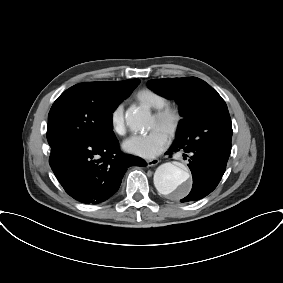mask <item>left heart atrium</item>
I'll return each instance as SVG.
<instances>
[{
  "label": "left heart atrium",
  "instance_id": "obj_1",
  "mask_svg": "<svg viewBox=\"0 0 283 283\" xmlns=\"http://www.w3.org/2000/svg\"><path fill=\"white\" fill-rule=\"evenodd\" d=\"M166 144V133L158 128H154L147 134L129 137L123 143V148L132 155L149 159L157 156Z\"/></svg>",
  "mask_w": 283,
  "mask_h": 283
}]
</instances>
